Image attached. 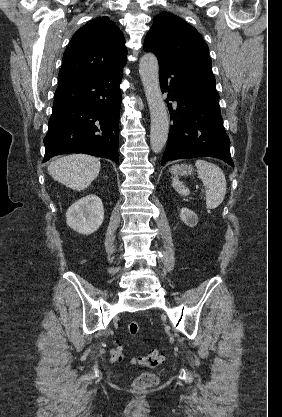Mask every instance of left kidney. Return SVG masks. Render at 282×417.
Listing matches in <instances>:
<instances>
[{"label": "left kidney", "mask_w": 282, "mask_h": 417, "mask_svg": "<svg viewBox=\"0 0 282 417\" xmlns=\"http://www.w3.org/2000/svg\"><path fill=\"white\" fill-rule=\"evenodd\" d=\"M180 219L187 225V227H195L198 223V217L196 213L190 211V209H186V206H183V209L180 211Z\"/></svg>", "instance_id": "1"}]
</instances>
